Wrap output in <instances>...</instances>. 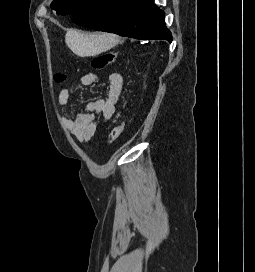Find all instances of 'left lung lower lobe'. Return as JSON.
Returning a JSON list of instances; mask_svg holds the SVG:
<instances>
[{
	"label": "left lung lower lobe",
	"mask_w": 255,
	"mask_h": 272,
	"mask_svg": "<svg viewBox=\"0 0 255 272\" xmlns=\"http://www.w3.org/2000/svg\"><path fill=\"white\" fill-rule=\"evenodd\" d=\"M164 16L153 0H90L73 13L72 21L97 31L172 42Z\"/></svg>",
	"instance_id": "1"
}]
</instances>
